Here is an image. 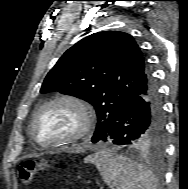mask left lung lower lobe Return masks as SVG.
Returning a JSON list of instances; mask_svg holds the SVG:
<instances>
[{
	"label": "left lung lower lobe",
	"mask_w": 188,
	"mask_h": 189,
	"mask_svg": "<svg viewBox=\"0 0 188 189\" xmlns=\"http://www.w3.org/2000/svg\"><path fill=\"white\" fill-rule=\"evenodd\" d=\"M163 130L162 103L152 79L135 92L113 126L99 141L135 148V144L144 136L163 135Z\"/></svg>",
	"instance_id": "0a47b994"
}]
</instances>
